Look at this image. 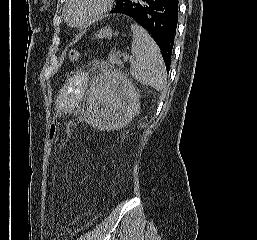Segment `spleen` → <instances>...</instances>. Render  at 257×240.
Wrapping results in <instances>:
<instances>
[{"mask_svg": "<svg viewBox=\"0 0 257 240\" xmlns=\"http://www.w3.org/2000/svg\"><path fill=\"white\" fill-rule=\"evenodd\" d=\"M131 30L133 32L132 55L135 58L130 69L132 77L157 91L163 90L167 77L157 44L141 26L132 24Z\"/></svg>", "mask_w": 257, "mask_h": 240, "instance_id": "3e777b00", "label": "spleen"}]
</instances>
